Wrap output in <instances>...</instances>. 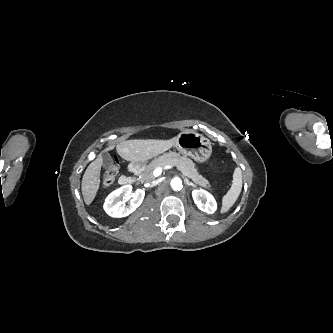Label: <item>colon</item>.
Masks as SVG:
<instances>
[{
  "label": "colon",
  "mask_w": 333,
  "mask_h": 333,
  "mask_svg": "<svg viewBox=\"0 0 333 333\" xmlns=\"http://www.w3.org/2000/svg\"><path fill=\"white\" fill-rule=\"evenodd\" d=\"M118 167L117 163H114L109 169L105 171L102 178V185L104 187L110 186L117 175Z\"/></svg>",
  "instance_id": "obj_1"
}]
</instances>
